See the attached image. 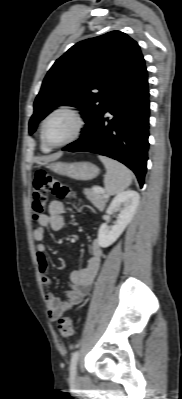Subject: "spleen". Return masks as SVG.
Listing matches in <instances>:
<instances>
[{
  "label": "spleen",
  "mask_w": 182,
  "mask_h": 399,
  "mask_svg": "<svg viewBox=\"0 0 182 399\" xmlns=\"http://www.w3.org/2000/svg\"><path fill=\"white\" fill-rule=\"evenodd\" d=\"M99 159L107 170L104 177L106 192L115 195L127 189L132 182V172L125 165L108 157L99 156Z\"/></svg>",
  "instance_id": "obj_1"
}]
</instances>
